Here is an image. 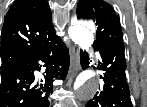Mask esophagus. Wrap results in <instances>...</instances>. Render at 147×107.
Returning a JSON list of instances; mask_svg holds the SVG:
<instances>
[{
  "label": "esophagus",
  "instance_id": "1",
  "mask_svg": "<svg viewBox=\"0 0 147 107\" xmlns=\"http://www.w3.org/2000/svg\"><path fill=\"white\" fill-rule=\"evenodd\" d=\"M80 69V57L78 50L73 47L72 56H71V64H70V74H76Z\"/></svg>",
  "mask_w": 147,
  "mask_h": 107
}]
</instances>
